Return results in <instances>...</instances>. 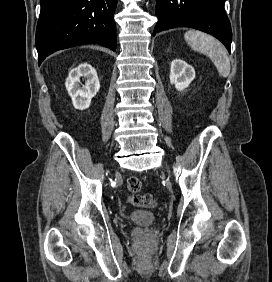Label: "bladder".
I'll return each mask as SVG.
<instances>
[{
	"instance_id": "31cf9c89",
	"label": "bladder",
	"mask_w": 272,
	"mask_h": 282,
	"mask_svg": "<svg viewBox=\"0 0 272 282\" xmlns=\"http://www.w3.org/2000/svg\"><path fill=\"white\" fill-rule=\"evenodd\" d=\"M127 218L131 222L139 223V224H146V225L153 224L157 219L156 215H154L153 213L148 212V211H142V210L131 212L127 216Z\"/></svg>"
}]
</instances>
